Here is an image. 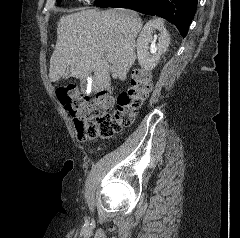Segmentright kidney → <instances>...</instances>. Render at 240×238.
<instances>
[{"mask_svg": "<svg viewBox=\"0 0 240 238\" xmlns=\"http://www.w3.org/2000/svg\"><path fill=\"white\" fill-rule=\"evenodd\" d=\"M159 31L158 44L156 48H151L150 55L148 44L152 41L153 31ZM170 43V36L161 19H152L143 27L137 39V56L140 66L147 70H153L160 60V56L166 52Z\"/></svg>", "mask_w": 240, "mask_h": 238, "instance_id": "obj_1", "label": "right kidney"}]
</instances>
